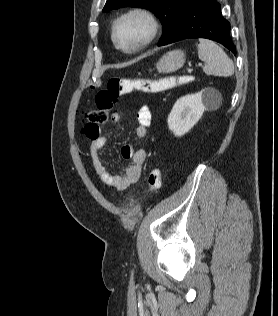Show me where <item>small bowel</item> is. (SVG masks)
<instances>
[{
    "mask_svg": "<svg viewBox=\"0 0 278 316\" xmlns=\"http://www.w3.org/2000/svg\"><path fill=\"white\" fill-rule=\"evenodd\" d=\"M123 112L117 111L111 114L110 120L118 124L123 119ZM137 127L136 137L143 139L151 125L152 115L148 106L144 105L139 108L136 114ZM90 139V156L94 170L99 179L107 186L119 191L128 189L132 184L138 182L141 176L142 168L145 164L147 155L144 150H136L131 145H125L121 148V155L125 159H130V165L124 170L123 174L116 175L105 164L101 158V153L106 146L107 139L99 131L94 135L84 132Z\"/></svg>",
    "mask_w": 278,
    "mask_h": 316,
    "instance_id": "small-bowel-1",
    "label": "small bowel"
}]
</instances>
